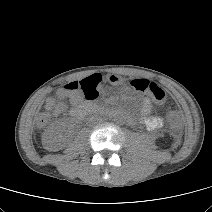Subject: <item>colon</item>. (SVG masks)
<instances>
[{
	"instance_id": "obj_1",
	"label": "colon",
	"mask_w": 212,
	"mask_h": 212,
	"mask_svg": "<svg viewBox=\"0 0 212 212\" xmlns=\"http://www.w3.org/2000/svg\"><path fill=\"white\" fill-rule=\"evenodd\" d=\"M131 86L140 92H145L158 104L166 103L165 91L156 83L146 79H134L131 81ZM103 89V78L99 74H93L81 80H76L65 85V90L73 95L83 96L88 100H93L98 97ZM170 118L173 125L179 126L181 116L178 111H172ZM48 122V114L41 113L37 118L38 127H44Z\"/></svg>"
}]
</instances>
